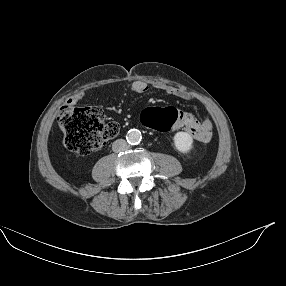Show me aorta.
Wrapping results in <instances>:
<instances>
[{
    "label": "aorta",
    "mask_w": 286,
    "mask_h": 286,
    "mask_svg": "<svg viewBox=\"0 0 286 286\" xmlns=\"http://www.w3.org/2000/svg\"><path fill=\"white\" fill-rule=\"evenodd\" d=\"M127 142L131 145H137L142 140L141 132L137 129H131L126 136Z\"/></svg>",
    "instance_id": "aorta-1"
}]
</instances>
